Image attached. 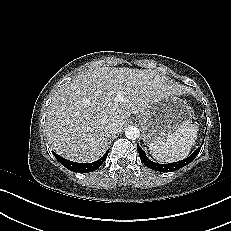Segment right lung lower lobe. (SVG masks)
I'll use <instances>...</instances> for the list:
<instances>
[{
	"instance_id": "1",
	"label": "right lung lower lobe",
	"mask_w": 231,
	"mask_h": 231,
	"mask_svg": "<svg viewBox=\"0 0 231 231\" xmlns=\"http://www.w3.org/2000/svg\"><path fill=\"white\" fill-rule=\"evenodd\" d=\"M107 151L104 156L102 158H100L99 160L92 162V163H77V162H73V161H69L59 155H57L56 153L53 152L54 156L56 157V159L67 169H69L70 171L73 172H79V173H88V172H92L94 170H96L97 168H99L102 163L105 161V159L107 158L108 155Z\"/></svg>"
}]
</instances>
